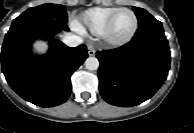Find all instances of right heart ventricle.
I'll return each instance as SVG.
<instances>
[{"label": "right heart ventricle", "instance_id": "1", "mask_svg": "<svg viewBox=\"0 0 194 133\" xmlns=\"http://www.w3.org/2000/svg\"><path fill=\"white\" fill-rule=\"evenodd\" d=\"M120 7H94L85 11L79 18L82 26L99 35L108 18Z\"/></svg>", "mask_w": 194, "mask_h": 133}]
</instances>
